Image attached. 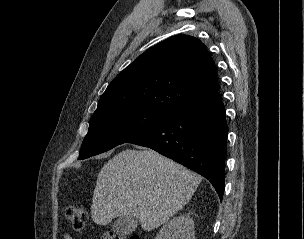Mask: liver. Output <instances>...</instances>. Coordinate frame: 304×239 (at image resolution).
Returning <instances> with one entry per match:
<instances>
[{
    "label": "liver",
    "instance_id": "obj_1",
    "mask_svg": "<svg viewBox=\"0 0 304 239\" xmlns=\"http://www.w3.org/2000/svg\"><path fill=\"white\" fill-rule=\"evenodd\" d=\"M202 177L152 149H126L98 174L91 205L96 224L132 216L145 231L158 228L192 198Z\"/></svg>",
    "mask_w": 304,
    "mask_h": 239
}]
</instances>
